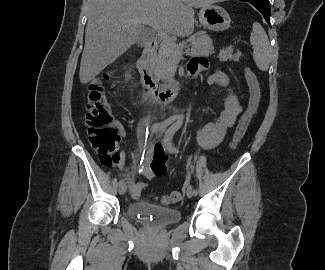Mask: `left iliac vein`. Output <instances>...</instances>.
Segmentation results:
<instances>
[{
    "instance_id": "left-iliac-vein-1",
    "label": "left iliac vein",
    "mask_w": 325,
    "mask_h": 270,
    "mask_svg": "<svg viewBox=\"0 0 325 270\" xmlns=\"http://www.w3.org/2000/svg\"><path fill=\"white\" fill-rule=\"evenodd\" d=\"M166 148H167V147H166ZM167 149H168V148H167ZM168 150H169V149H168ZM186 195H187L188 198H191V197L194 196V189H193V187H192L191 185H189V186L187 187Z\"/></svg>"
}]
</instances>
